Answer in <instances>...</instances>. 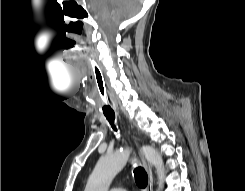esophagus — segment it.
<instances>
[{
	"label": "esophagus",
	"instance_id": "obj_1",
	"mask_svg": "<svg viewBox=\"0 0 245 191\" xmlns=\"http://www.w3.org/2000/svg\"><path fill=\"white\" fill-rule=\"evenodd\" d=\"M136 144L138 145L139 143V139L137 137H134ZM142 162L144 165V168L147 172L148 175V184H147V188L146 191H152L153 190V173H152V167L151 165L146 161V159L144 157H142Z\"/></svg>",
	"mask_w": 245,
	"mask_h": 191
}]
</instances>
